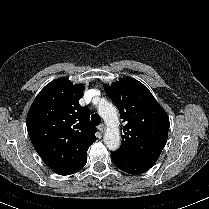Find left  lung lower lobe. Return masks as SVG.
Returning <instances> with one entry per match:
<instances>
[{"instance_id": "obj_1", "label": "left lung lower lobe", "mask_w": 209, "mask_h": 209, "mask_svg": "<svg viewBox=\"0 0 209 209\" xmlns=\"http://www.w3.org/2000/svg\"><path fill=\"white\" fill-rule=\"evenodd\" d=\"M111 158L119 169L129 174L144 173L149 170L155 163L153 161L132 158L118 153H112Z\"/></svg>"}]
</instances>
